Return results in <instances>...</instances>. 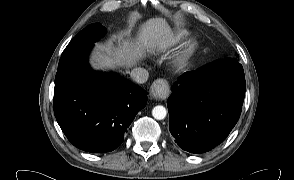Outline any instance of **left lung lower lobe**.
Returning a JSON list of instances; mask_svg holds the SVG:
<instances>
[{
    "mask_svg": "<svg viewBox=\"0 0 294 180\" xmlns=\"http://www.w3.org/2000/svg\"><path fill=\"white\" fill-rule=\"evenodd\" d=\"M167 100L169 130L180 148L204 153L222 143L237 123L245 76L231 58L184 73Z\"/></svg>",
    "mask_w": 294,
    "mask_h": 180,
    "instance_id": "left-lung-lower-lobe-1",
    "label": "left lung lower lobe"
}]
</instances>
